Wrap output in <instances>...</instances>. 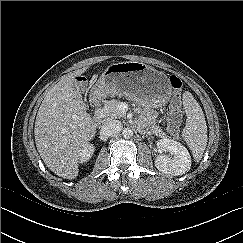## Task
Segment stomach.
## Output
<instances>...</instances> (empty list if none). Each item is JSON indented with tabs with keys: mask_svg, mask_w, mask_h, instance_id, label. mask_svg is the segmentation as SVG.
Wrapping results in <instances>:
<instances>
[{
	"mask_svg": "<svg viewBox=\"0 0 243 243\" xmlns=\"http://www.w3.org/2000/svg\"><path fill=\"white\" fill-rule=\"evenodd\" d=\"M94 94L98 97L125 96L152 107H161L171 97L168 77L139 61L110 64L101 74Z\"/></svg>",
	"mask_w": 243,
	"mask_h": 243,
	"instance_id": "1",
	"label": "stomach"
}]
</instances>
